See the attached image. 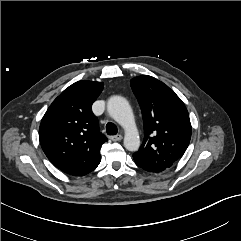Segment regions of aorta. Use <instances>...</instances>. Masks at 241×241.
<instances>
[{
  "label": "aorta",
  "mask_w": 241,
  "mask_h": 241,
  "mask_svg": "<svg viewBox=\"0 0 241 241\" xmlns=\"http://www.w3.org/2000/svg\"><path fill=\"white\" fill-rule=\"evenodd\" d=\"M107 111L125 130V148L132 152L137 151L140 147V138L128 101L121 96H113L107 102Z\"/></svg>",
  "instance_id": "1"
}]
</instances>
